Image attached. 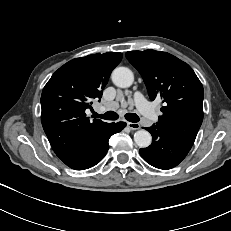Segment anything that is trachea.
Segmentation results:
<instances>
[{
    "instance_id": "3493384b",
    "label": "trachea",
    "mask_w": 231,
    "mask_h": 231,
    "mask_svg": "<svg viewBox=\"0 0 231 231\" xmlns=\"http://www.w3.org/2000/svg\"><path fill=\"white\" fill-rule=\"evenodd\" d=\"M93 116L97 117V118L105 119V120H117L118 117H119L118 114L116 112H114V111H108L105 114L94 113ZM125 118L129 122H133V123L139 122V120H140V118L138 117V115L135 114V113H127L125 115Z\"/></svg>"
}]
</instances>
